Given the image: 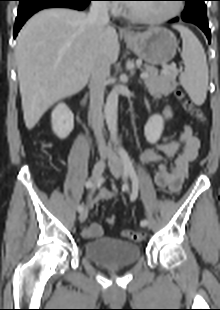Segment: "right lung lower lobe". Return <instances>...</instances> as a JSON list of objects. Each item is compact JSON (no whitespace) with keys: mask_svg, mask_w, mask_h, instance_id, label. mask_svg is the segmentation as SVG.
Here are the masks:
<instances>
[{"mask_svg":"<svg viewBox=\"0 0 220 310\" xmlns=\"http://www.w3.org/2000/svg\"><path fill=\"white\" fill-rule=\"evenodd\" d=\"M92 0H19L18 15L15 21L14 38L26 20L44 8L65 7L77 10L84 9Z\"/></svg>","mask_w":220,"mask_h":310,"instance_id":"98d812e1","label":"right lung lower lobe"}]
</instances>
